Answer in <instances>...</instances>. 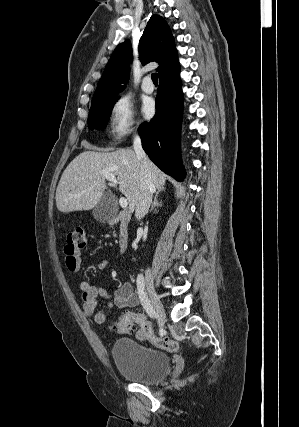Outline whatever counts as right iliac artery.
Returning <instances> with one entry per match:
<instances>
[{
	"mask_svg": "<svg viewBox=\"0 0 299 427\" xmlns=\"http://www.w3.org/2000/svg\"><path fill=\"white\" fill-rule=\"evenodd\" d=\"M137 291H138V295L139 298L141 300V304L143 306V308L146 310V312L148 313V315L151 318H154L156 316L155 310L153 309L147 295L145 292V281H144V277L142 274H139L137 277Z\"/></svg>",
	"mask_w": 299,
	"mask_h": 427,
	"instance_id": "right-iliac-artery-1",
	"label": "right iliac artery"
}]
</instances>
